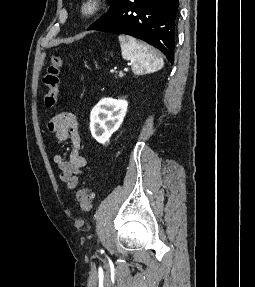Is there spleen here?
<instances>
[{
  "instance_id": "obj_1",
  "label": "spleen",
  "mask_w": 255,
  "mask_h": 287,
  "mask_svg": "<svg viewBox=\"0 0 255 287\" xmlns=\"http://www.w3.org/2000/svg\"><path fill=\"white\" fill-rule=\"evenodd\" d=\"M119 42L124 60H132L133 68H141V70L143 68L149 72H156V70L163 68L162 58L156 56L154 50H150L147 44L137 42L131 36H119Z\"/></svg>"
}]
</instances>
